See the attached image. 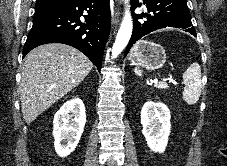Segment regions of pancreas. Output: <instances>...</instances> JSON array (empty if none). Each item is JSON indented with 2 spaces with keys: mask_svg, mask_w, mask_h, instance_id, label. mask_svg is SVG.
<instances>
[{
  "mask_svg": "<svg viewBox=\"0 0 227 166\" xmlns=\"http://www.w3.org/2000/svg\"><path fill=\"white\" fill-rule=\"evenodd\" d=\"M156 87L160 88V89H167L168 88L167 86L163 85L162 83L157 84Z\"/></svg>",
  "mask_w": 227,
  "mask_h": 166,
  "instance_id": "cf45deb5",
  "label": "pancreas"
}]
</instances>
